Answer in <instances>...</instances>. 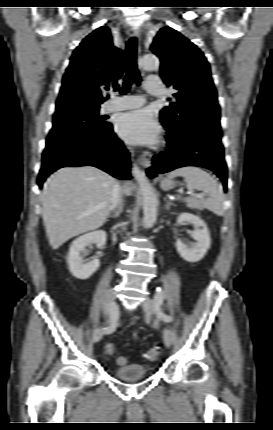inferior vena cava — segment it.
Listing matches in <instances>:
<instances>
[{
  "label": "inferior vena cava",
  "instance_id": "602c4592",
  "mask_svg": "<svg viewBox=\"0 0 273 430\" xmlns=\"http://www.w3.org/2000/svg\"><path fill=\"white\" fill-rule=\"evenodd\" d=\"M124 194L123 188L120 186L118 182H116L113 186L111 197H110V209H114L122 206V195Z\"/></svg>",
  "mask_w": 273,
  "mask_h": 430
}]
</instances>
